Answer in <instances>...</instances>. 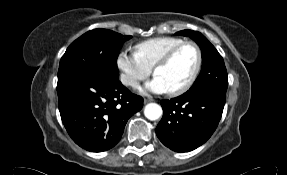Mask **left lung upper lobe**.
<instances>
[{
	"label": "left lung upper lobe",
	"instance_id": "left-lung-upper-lobe-1",
	"mask_svg": "<svg viewBox=\"0 0 287 175\" xmlns=\"http://www.w3.org/2000/svg\"><path fill=\"white\" fill-rule=\"evenodd\" d=\"M176 34L192 38L202 50L201 72L187 92L216 91L226 93L228 86L227 71L223 58L215 47L200 32L183 30Z\"/></svg>",
	"mask_w": 287,
	"mask_h": 175
}]
</instances>
